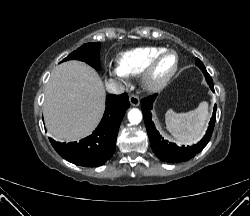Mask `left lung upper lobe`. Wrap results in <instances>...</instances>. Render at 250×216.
Instances as JSON below:
<instances>
[{
  "label": "left lung upper lobe",
  "instance_id": "left-lung-upper-lobe-1",
  "mask_svg": "<svg viewBox=\"0 0 250 216\" xmlns=\"http://www.w3.org/2000/svg\"><path fill=\"white\" fill-rule=\"evenodd\" d=\"M196 65H197L201 70L205 69L203 63H202L198 58H196Z\"/></svg>",
  "mask_w": 250,
  "mask_h": 216
}]
</instances>
